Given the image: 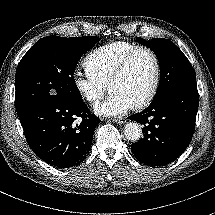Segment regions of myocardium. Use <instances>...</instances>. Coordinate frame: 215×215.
<instances>
[{
	"label": "myocardium",
	"instance_id": "myocardium-1",
	"mask_svg": "<svg viewBox=\"0 0 215 215\" xmlns=\"http://www.w3.org/2000/svg\"><path fill=\"white\" fill-rule=\"evenodd\" d=\"M140 51H145L152 57L154 63V76L150 89L146 96L144 97V99L141 102L132 106V108L136 111H140L147 108L151 104L152 100L154 99L157 93L161 78V64L157 53L148 46L139 45L132 48L118 61L115 69L113 70L108 80L109 85L112 81L119 78L125 72L132 58Z\"/></svg>",
	"mask_w": 215,
	"mask_h": 215
}]
</instances>
